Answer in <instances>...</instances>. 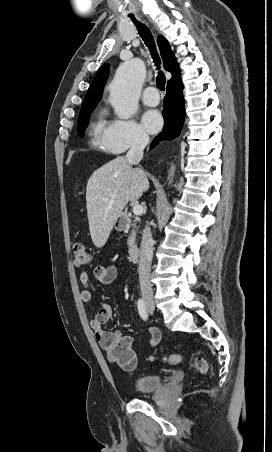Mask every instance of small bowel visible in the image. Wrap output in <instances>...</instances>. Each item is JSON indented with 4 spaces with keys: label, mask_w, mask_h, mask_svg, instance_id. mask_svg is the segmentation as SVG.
<instances>
[{
    "label": "small bowel",
    "mask_w": 272,
    "mask_h": 452,
    "mask_svg": "<svg viewBox=\"0 0 272 452\" xmlns=\"http://www.w3.org/2000/svg\"><path fill=\"white\" fill-rule=\"evenodd\" d=\"M117 268L114 265H98L94 268V277L103 284H110L117 278ZM80 282L83 286L81 291V299L83 302L89 303L92 301L93 292L89 282V275L87 272H81L79 276ZM113 320V308L109 303H102L95 314V317L90 320L89 324L95 334V338L102 350L108 352L110 346L119 338H125L129 342V338L122 335L119 331H104L102 326ZM147 332L150 336L149 347H156L161 340V333L154 327H149ZM130 343V342H129Z\"/></svg>",
    "instance_id": "1"
}]
</instances>
